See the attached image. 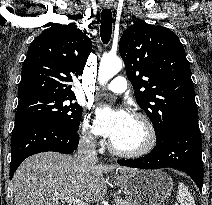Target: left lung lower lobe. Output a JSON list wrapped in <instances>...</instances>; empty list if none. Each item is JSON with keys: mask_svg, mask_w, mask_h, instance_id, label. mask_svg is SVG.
Listing matches in <instances>:
<instances>
[{"mask_svg": "<svg viewBox=\"0 0 212 205\" xmlns=\"http://www.w3.org/2000/svg\"><path fill=\"white\" fill-rule=\"evenodd\" d=\"M202 141L198 114L177 120L162 141L147 155L132 160H117L118 164L142 169L175 168L187 173L202 192Z\"/></svg>", "mask_w": 212, "mask_h": 205, "instance_id": "0a47b994", "label": "left lung lower lobe"}]
</instances>
